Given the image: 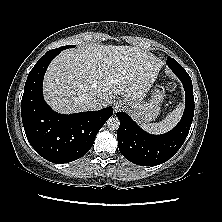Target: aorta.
I'll list each match as a JSON object with an SVG mask.
<instances>
[{
  "mask_svg": "<svg viewBox=\"0 0 222 222\" xmlns=\"http://www.w3.org/2000/svg\"><path fill=\"white\" fill-rule=\"evenodd\" d=\"M106 125L110 130H117L120 126V121L117 117H110L107 120Z\"/></svg>",
  "mask_w": 222,
  "mask_h": 222,
  "instance_id": "obj_1",
  "label": "aorta"
}]
</instances>
